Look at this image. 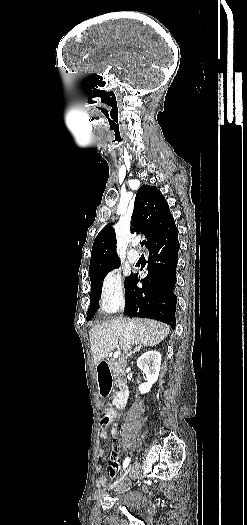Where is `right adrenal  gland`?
Returning a JSON list of instances; mask_svg holds the SVG:
<instances>
[{
    "label": "right adrenal gland",
    "instance_id": "obj_1",
    "mask_svg": "<svg viewBox=\"0 0 247 525\" xmlns=\"http://www.w3.org/2000/svg\"><path fill=\"white\" fill-rule=\"evenodd\" d=\"M141 349V345H138V347H135V349H133V351H130V353H128V357H131V355H133V353H138V351H140Z\"/></svg>",
    "mask_w": 247,
    "mask_h": 525
}]
</instances>
